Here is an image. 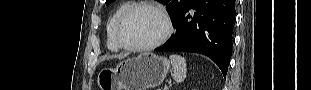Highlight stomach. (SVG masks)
Returning <instances> with one entry per match:
<instances>
[{
	"mask_svg": "<svg viewBox=\"0 0 311 90\" xmlns=\"http://www.w3.org/2000/svg\"><path fill=\"white\" fill-rule=\"evenodd\" d=\"M170 69L163 56L143 53L120 62L116 68H104L97 75L100 90H146L159 86Z\"/></svg>",
	"mask_w": 311,
	"mask_h": 90,
	"instance_id": "1",
	"label": "stomach"
}]
</instances>
